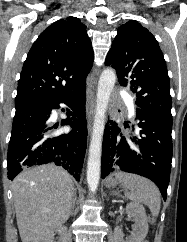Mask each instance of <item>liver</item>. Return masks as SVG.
<instances>
[{
  "label": "liver",
  "mask_w": 187,
  "mask_h": 242,
  "mask_svg": "<svg viewBox=\"0 0 187 242\" xmlns=\"http://www.w3.org/2000/svg\"><path fill=\"white\" fill-rule=\"evenodd\" d=\"M12 193L22 242H40L69 218L75 186L70 174L48 164L24 169Z\"/></svg>",
  "instance_id": "6515ba94"
}]
</instances>
